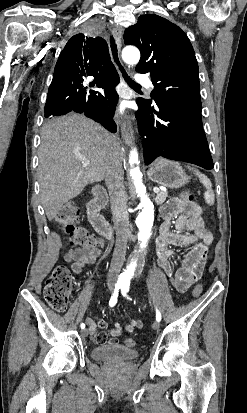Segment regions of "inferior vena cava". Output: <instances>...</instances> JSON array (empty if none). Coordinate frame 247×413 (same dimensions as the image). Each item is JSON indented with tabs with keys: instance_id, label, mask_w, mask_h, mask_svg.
Here are the masks:
<instances>
[{
	"instance_id": "1",
	"label": "inferior vena cava",
	"mask_w": 247,
	"mask_h": 413,
	"mask_svg": "<svg viewBox=\"0 0 247 413\" xmlns=\"http://www.w3.org/2000/svg\"><path fill=\"white\" fill-rule=\"evenodd\" d=\"M110 138L112 144L107 146L109 158L106 160L105 182L109 190L114 227L116 229V245L107 279L111 283H116L123 261H125L130 229L127 207L128 194L124 186V170L120 160L121 142L114 134H110Z\"/></svg>"
}]
</instances>
